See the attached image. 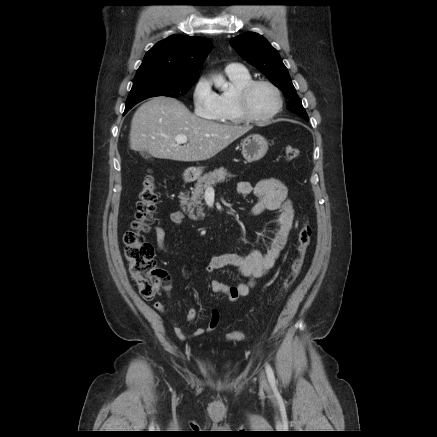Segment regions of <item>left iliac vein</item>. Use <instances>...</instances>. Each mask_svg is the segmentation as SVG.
Instances as JSON below:
<instances>
[{
  "mask_svg": "<svg viewBox=\"0 0 437 437\" xmlns=\"http://www.w3.org/2000/svg\"><path fill=\"white\" fill-rule=\"evenodd\" d=\"M260 383H261V386H262L264 389H267V388H268L267 380H266V378H265V376H264L263 373H262L261 376H260Z\"/></svg>",
  "mask_w": 437,
  "mask_h": 437,
  "instance_id": "obj_1",
  "label": "left iliac vein"
}]
</instances>
